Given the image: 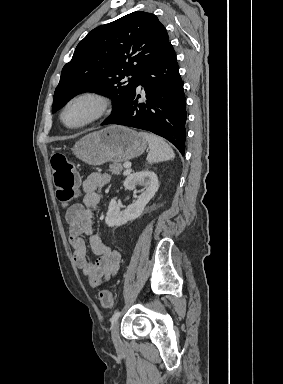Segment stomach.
Listing matches in <instances>:
<instances>
[{
	"label": "stomach",
	"mask_w": 283,
	"mask_h": 384,
	"mask_svg": "<svg viewBox=\"0 0 283 384\" xmlns=\"http://www.w3.org/2000/svg\"><path fill=\"white\" fill-rule=\"evenodd\" d=\"M146 150V140L124 126H109L100 132H92L76 142L72 152L90 166H102L105 162H127L141 156Z\"/></svg>",
	"instance_id": "0dacf381"
}]
</instances>
